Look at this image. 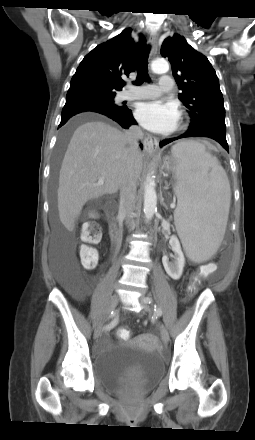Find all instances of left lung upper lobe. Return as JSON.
<instances>
[{
	"instance_id": "obj_1",
	"label": "left lung upper lobe",
	"mask_w": 255,
	"mask_h": 440,
	"mask_svg": "<svg viewBox=\"0 0 255 440\" xmlns=\"http://www.w3.org/2000/svg\"><path fill=\"white\" fill-rule=\"evenodd\" d=\"M161 54L168 57L173 76L182 90L179 99L188 108L190 128L205 125L226 128L219 80L207 57L193 49L178 34L164 40Z\"/></svg>"
}]
</instances>
